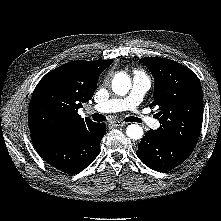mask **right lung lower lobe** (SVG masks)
Here are the masks:
<instances>
[{
  "label": "right lung lower lobe",
  "instance_id": "obj_1",
  "mask_svg": "<svg viewBox=\"0 0 221 221\" xmlns=\"http://www.w3.org/2000/svg\"><path fill=\"white\" fill-rule=\"evenodd\" d=\"M106 132L104 123H94L61 136H31L38 153L51 166L67 173L85 169L98 156Z\"/></svg>",
  "mask_w": 221,
  "mask_h": 221
}]
</instances>
